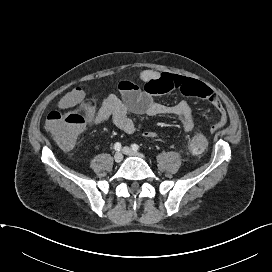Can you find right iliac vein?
Here are the masks:
<instances>
[{"instance_id":"1","label":"right iliac vein","mask_w":272,"mask_h":272,"mask_svg":"<svg viewBox=\"0 0 272 272\" xmlns=\"http://www.w3.org/2000/svg\"><path fill=\"white\" fill-rule=\"evenodd\" d=\"M123 160V154L121 152H116L114 155V161L120 163Z\"/></svg>"}]
</instances>
